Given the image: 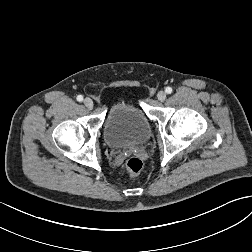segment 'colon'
I'll return each instance as SVG.
<instances>
[{
  "label": "colon",
  "mask_w": 252,
  "mask_h": 252,
  "mask_svg": "<svg viewBox=\"0 0 252 252\" xmlns=\"http://www.w3.org/2000/svg\"><path fill=\"white\" fill-rule=\"evenodd\" d=\"M125 169L130 175H137L143 168V162L137 157H130L125 161Z\"/></svg>",
  "instance_id": "obj_1"
}]
</instances>
